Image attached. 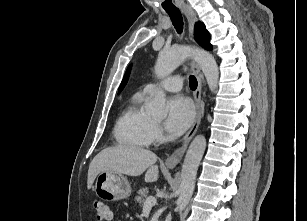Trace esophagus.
Masks as SVG:
<instances>
[{
  "label": "esophagus",
  "instance_id": "esophagus-1",
  "mask_svg": "<svg viewBox=\"0 0 307 221\" xmlns=\"http://www.w3.org/2000/svg\"><path fill=\"white\" fill-rule=\"evenodd\" d=\"M181 9L183 13L185 14L187 21H188L190 39L191 41H194V38H193L194 25H195V22L197 21V17L194 11L191 9V7H189L188 5H183ZM192 68H193V71L196 75L197 82H198L197 88L194 92L196 116L192 124V127L190 128L188 133L185 135V137L182 139L180 147L175 149L173 153L170 156H168L167 159L165 160V164L169 168L176 167L182 160V157L187 149V146L189 142L191 141V139L193 138V136L196 134L198 127L201 123V119L204 115V104L201 99L203 76L200 71L199 65L195 61L192 62Z\"/></svg>",
  "mask_w": 307,
  "mask_h": 221
}]
</instances>
